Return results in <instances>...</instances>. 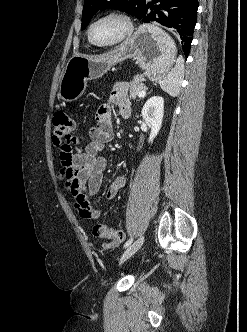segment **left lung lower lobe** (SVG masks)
<instances>
[{
	"mask_svg": "<svg viewBox=\"0 0 247 332\" xmlns=\"http://www.w3.org/2000/svg\"><path fill=\"white\" fill-rule=\"evenodd\" d=\"M144 6L139 19L156 21L171 28L181 40L183 52L189 55L193 30L196 25L198 0H152Z\"/></svg>",
	"mask_w": 247,
	"mask_h": 332,
	"instance_id": "1",
	"label": "left lung lower lobe"
}]
</instances>
